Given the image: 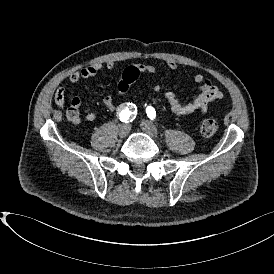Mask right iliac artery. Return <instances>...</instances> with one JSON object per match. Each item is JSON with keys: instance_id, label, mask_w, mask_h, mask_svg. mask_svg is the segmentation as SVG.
<instances>
[{"instance_id": "82829eb1", "label": "right iliac artery", "mask_w": 274, "mask_h": 274, "mask_svg": "<svg viewBox=\"0 0 274 274\" xmlns=\"http://www.w3.org/2000/svg\"><path fill=\"white\" fill-rule=\"evenodd\" d=\"M136 117V106H130V108L123 109L119 113V119L122 122H130L133 121Z\"/></svg>"}]
</instances>
